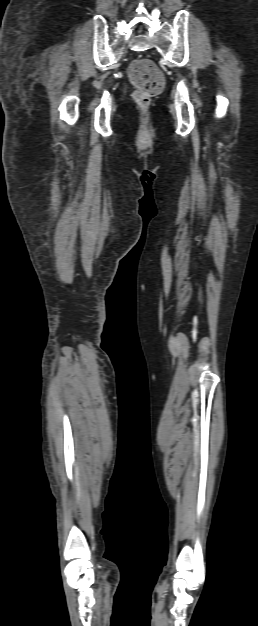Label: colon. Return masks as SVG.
<instances>
[{
    "label": "colon",
    "mask_w": 258,
    "mask_h": 626,
    "mask_svg": "<svg viewBox=\"0 0 258 626\" xmlns=\"http://www.w3.org/2000/svg\"><path fill=\"white\" fill-rule=\"evenodd\" d=\"M129 77L135 86L133 99L142 108H147L153 97L164 87V76L158 66L147 58L136 59L129 69Z\"/></svg>",
    "instance_id": "obj_1"
}]
</instances>
